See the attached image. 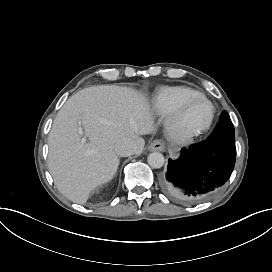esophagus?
Returning a JSON list of instances; mask_svg holds the SVG:
<instances>
[{
    "label": "esophagus",
    "instance_id": "esophagus-1",
    "mask_svg": "<svg viewBox=\"0 0 272 272\" xmlns=\"http://www.w3.org/2000/svg\"><path fill=\"white\" fill-rule=\"evenodd\" d=\"M165 150V144L161 140H154L148 147V151H161Z\"/></svg>",
    "mask_w": 272,
    "mask_h": 272
}]
</instances>
